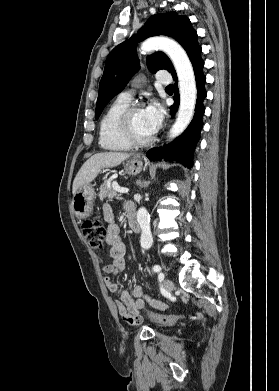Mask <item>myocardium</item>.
Returning a JSON list of instances; mask_svg holds the SVG:
<instances>
[{
  "label": "myocardium",
  "instance_id": "obj_1",
  "mask_svg": "<svg viewBox=\"0 0 279 391\" xmlns=\"http://www.w3.org/2000/svg\"><path fill=\"white\" fill-rule=\"evenodd\" d=\"M140 109H143V105L141 103L138 102L130 103L122 112L119 118V128H120L121 135L131 147L147 146L153 142L156 136L155 131L153 132L152 135L144 139H140L135 135L132 126V117L133 114Z\"/></svg>",
  "mask_w": 279,
  "mask_h": 391
}]
</instances>
